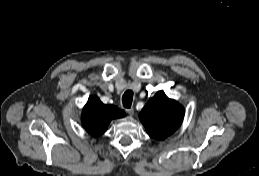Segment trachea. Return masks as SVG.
<instances>
[{
  "label": "trachea",
  "instance_id": "3493384b",
  "mask_svg": "<svg viewBox=\"0 0 259 176\" xmlns=\"http://www.w3.org/2000/svg\"><path fill=\"white\" fill-rule=\"evenodd\" d=\"M133 100V92L127 90L122 96V103L125 108H130Z\"/></svg>",
  "mask_w": 259,
  "mask_h": 176
}]
</instances>
